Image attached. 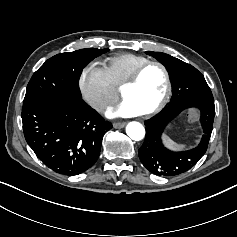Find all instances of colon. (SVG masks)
<instances>
[{
  "label": "colon",
  "instance_id": "colon-1",
  "mask_svg": "<svg viewBox=\"0 0 237 237\" xmlns=\"http://www.w3.org/2000/svg\"><path fill=\"white\" fill-rule=\"evenodd\" d=\"M201 113L198 109L192 108L188 112V118L191 122H196L200 119Z\"/></svg>",
  "mask_w": 237,
  "mask_h": 237
}]
</instances>
